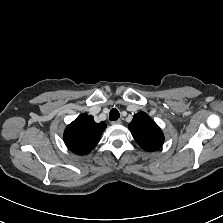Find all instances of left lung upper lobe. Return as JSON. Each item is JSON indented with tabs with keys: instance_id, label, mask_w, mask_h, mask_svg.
I'll return each instance as SVG.
<instances>
[{
	"instance_id": "5c2ea615",
	"label": "left lung upper lobe",
	"mask_w": 223,
	"mask_h": 223,
	"mask_svg": "<svg viewBox=\"0 0 223 223\" xmlns=\"http://www.w3.org/2000/svg\"><path fill=\"white\" fill-rule=\"evenodd\" d=\"M129 129L135 141L146 151H156L164 142L161 129L145 112L141 111L134 115Z\"/></svg>"
}]
</instances>
